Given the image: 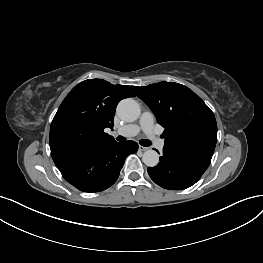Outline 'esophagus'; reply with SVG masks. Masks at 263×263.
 <instances>
[{
	"instance_id": "esophagus-1",
	"label": "esophagus",
	"mask_w": 263,
	"mask_h": 263,
	"mask_svg": "<svg viewBox=\"0 0 263 263\" xmlns=\"http://www.w3.org/2000/svg\"><path fill=\"white\" fill-rule=\"evenodd\" d=\"M138 149H139V151H146L148 149V147H144L142 145H139Z\"/></svg>"
}]
</instances>
